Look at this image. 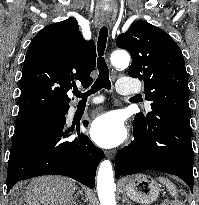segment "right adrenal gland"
Here are the masks:
<instances>
[{
	"instance_id": "2a0ac1e0",
	"label": "right adrenal gland",
	"mask_w": 199,
	"mask_h": 205,
	"mask_svg": "<svg viewBox=\"0 0 199 205\" xmlns=\"http://www.w3.org/2000/svg\"><path fill=\"white\" fill-rule=\"evenodd\" d=\"M79 195L83 196V192L79 188H77V193L73 199V205H77V202L80 203L78 199Z\"/></svg>"
}]
</instances>
